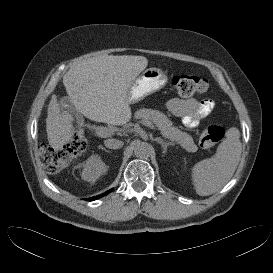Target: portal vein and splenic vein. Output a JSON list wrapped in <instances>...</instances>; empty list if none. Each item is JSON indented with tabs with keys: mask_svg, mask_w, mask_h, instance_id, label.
<instances>
[{
	"mask_svg": "<svg viewBox=\"0 0 273 273\" xmlns=\"http://www.w3.org/2000/svg\"><path fill=\"white\" fill-rule=\"evenodd\" d=\"M143 125L149 127L150 129L152 130H156V127L149 121H142L141 122ZM111 130L106 128V127H99L97 130H96V133L98 136L100 137H106V136H109L111 134Z\"/></svg>",
	"mask_w": 273,
	"mask_h": 273,
	"instance_id": "portal-vein-and-splenic-vein-1",
	"label": "portal vein and splenic vein"
}]
</instances>
